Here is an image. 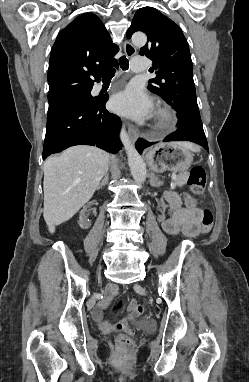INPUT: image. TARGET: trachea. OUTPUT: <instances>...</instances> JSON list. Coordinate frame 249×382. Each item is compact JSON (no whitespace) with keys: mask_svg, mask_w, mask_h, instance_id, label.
Listing matches in <instances>:
<instances>
[{"mask_svg":"<svg viewBox=\"0 0 249 382\" xmlns=\"http://www.w3.org/2000/svg\"><path fill=\"white\" fill-rule=\"evenodd\" d=\"M120 67L123 70H128L129 68V62L128 59L125 56H122L119 58ZM115 74V69H109L106 71L103 75V78H112Z\"/></svg>","mask_w":249,"mask_h":382,"instance_id":"obj_1","label":"trachea"}]
</instances>
